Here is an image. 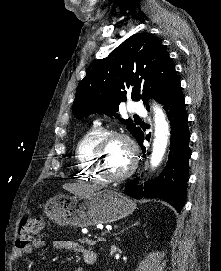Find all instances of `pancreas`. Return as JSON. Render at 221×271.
Segmentation results:
<instances>
[{
    "label": "pancreas",
    "instance_id": "pancreas-1",
    "mask_svg": "<svg viewBox=\"0 0 221 271\" xmlns=\"http://www.w3.org/2000/svg\"><path fill=\"white\" fill-rule=\"evenodd\" d=\"M78 242L81 244H88V247H95V244H99V239H89V237H78Z\"/></svg>",
    "mask_w": 221,
    "mask_h": 271
}]
</instances>
